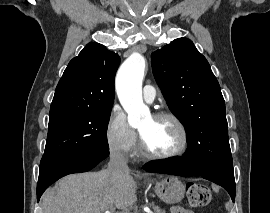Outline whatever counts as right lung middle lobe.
Masks as SVG:
<instances>
[{"mask_svg": "<svg viewBox=\"0 0 270 213\" xmlns=\"http://www.w3.org/2000/svg\"><path fill=\"white\" fill-rule=\"evenodd\" d=\"M111 109H58L49 113L45 152L41 161L109 151L107 126Z\"/></svg>", "mask_w": 270, "mask_h": 213, "instance_id": "right-lung-middle-lobe-1", "label": "right lung middle lobe"}]
</instances>
